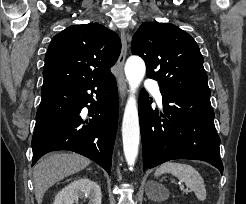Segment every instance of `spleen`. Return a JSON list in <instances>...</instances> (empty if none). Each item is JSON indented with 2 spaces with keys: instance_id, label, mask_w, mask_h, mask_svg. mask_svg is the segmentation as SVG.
<instances>
[{
  "instance_id": "obj_1",
  "label": "spleen",
  "mask_w": 246,
  "mask_h": 204,
  "mask_svg": "<svg viewBox=\"0 0 246 204\" xmlns=\"http://www.w3.org/2000/svg\"><path fill=\"white\" fill-rule=\"evenodd\" d=\"M163 173H171L184 182L188 188L195 192L198 200L204 201L206 199L204 180L200 173L191 165L169 161L156 169L155 176L158 177Z\"/></svg>"
}]
</instances>
